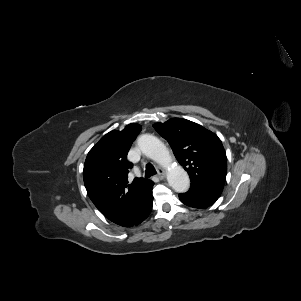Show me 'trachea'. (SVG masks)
<instances>
[{
  "label": "trachea",
  "mask_w": 301,
  "mask_h": 301,
  "mask_svg": "<svg viewBox=\"0 0 301 301\" xmlns=\"http://www.w3.org/2000/svg\"><path fill=\"white\" fill-rule=\"evenodd\" d=\"M156 173L157 172H156V170H155V168L152 164L149 163V164L146 165V170H145V177L146 178H149V177L155 175Z\"/></svg>",
  "instance_id": "1"
}]
</instances>
